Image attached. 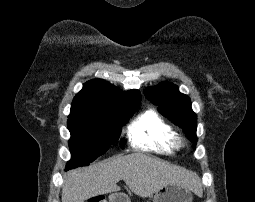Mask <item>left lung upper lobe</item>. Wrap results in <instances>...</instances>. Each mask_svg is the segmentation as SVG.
Returning a JSON list of instances; mask_svg holds the SVG:
<instances>
[{
    "label": "left lung upper lobe",
    "mask_w": 255,
    "mask_h": 202,
    "mask_svg": "<svg viewBox=\"0 0 255 202\" xmlns=\"http://www.w3.org/2000/svg\"><path fill=\"white\" fill-rule=\"evenodd\" d=\"M147 99L158 105L161 114L181 127L187 138L197 142V117L192 111L190 98L178 91V87L170 82H162L144 91Z\"/></svg>",
    "instance_id": "obj_1"
}]
</instances>
